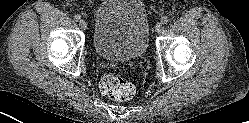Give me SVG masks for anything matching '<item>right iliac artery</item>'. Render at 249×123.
Listing matches in <instances>:
<instances>
[{"label": "right iliac artery", "instance_id": "right-iliac-artery-1", "mask_svg": "<svg viewBox=\"0 0 249 123\" xmlns=\"http://www.w3.org/2000/svg\"><path fill=\"white\" fill-rule=\"evenodd\" d=\"M81 19V16L79 15V14H76L75 16H74V20L75 21H79Z\"/></svg>", "mask_w": 249, "mask_h": 123}]
</instances>
